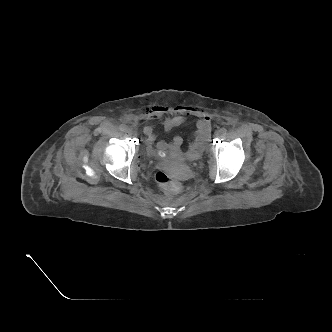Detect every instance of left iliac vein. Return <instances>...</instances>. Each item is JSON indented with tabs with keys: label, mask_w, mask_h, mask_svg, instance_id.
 <instances>
[{
	"label": "left iliac vein",
	"mask_w": 332,
	"mask_h": 332,
	"mask_svg": "<svg viewBox=\"0 0 332 332\" xmlns=\"http://www.w3.org/2000/svg\"><path fill=\"white\" fill-rule=\"evenodd\" d=\"M221 135H222L221 130L216 131V133H215V136H216V137H220Z\"/></svg>",
	"instance_id": "1"
}]
</instances>
